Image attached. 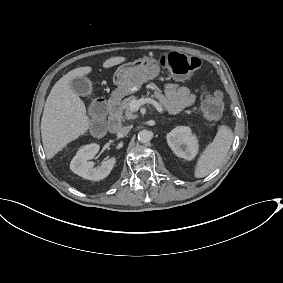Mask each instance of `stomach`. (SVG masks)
<instances>
[{"instance_id":"0dacf381","label":"stomach","mask_w":283,"mask_h":283,"mask_svg":"<svg viewBox=\"0 0 283 283\" xmlns=\"http://www.w3.org/2000/svg\"><path fill=\"white\" fill-rule=\"evenodd\" d=\"M160 67L153 57H143L118 67L113 82L117 85L115 94L128 95L138 91L141 85L159 75Z\"/></svg>"}]
</instances>
